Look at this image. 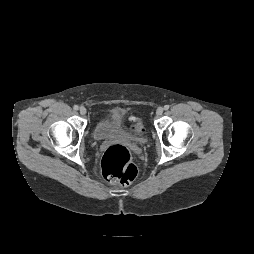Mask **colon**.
Instances as JSON below:
<instances>
[{
	"label": "colon",
	"instance_id": "5ec220e1",
	"mask_svg": "<svg viewBox=\"0 0 254 254\" xmlns=\"http://www.w3.org/2000/svg\"><path fill=\"white\" fill-rule=\"evenodd\" d=\"M102 171L108 181L121 185L132 183L137 176L131 152L121 144H114L106 149L102 158Z\"/></svg>",
	"mask_w": 254,
	"mask_h": 254
}]
</instances>
